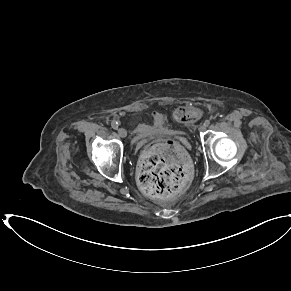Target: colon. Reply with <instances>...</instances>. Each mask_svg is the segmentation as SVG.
<instances>
[{
	"label": "colon",
	"mask_w": 291,
	"mask_h": 291,
	"mask_svg": "<svg viewBox=\"0 0 291 291\" xmlns=\"http://www.w3.org/2000/svg\"><path fill=\"white\" fill-rule=\"evenodd\" d=\"M176 121L189 124L199 118L195 107L177 108ZM190 166L182 148L172 141L152 143L144 152L138 173L141 189L152 197L167 198L180 193L189 183Z\"/></svg>",
	"instance_id": "5ec220e1"
}]
</instances>
